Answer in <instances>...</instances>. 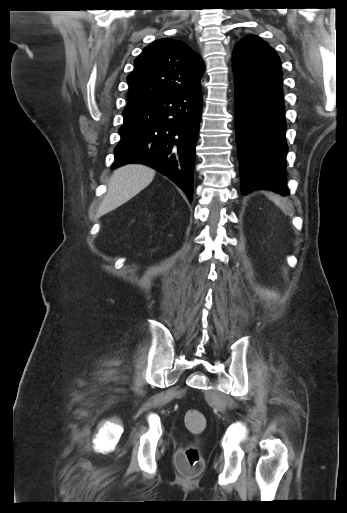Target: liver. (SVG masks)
Wrapping results in <instances>:
<instances>
[{"label":"liver","instance_id":"1","mask_svg":"<svg viewBox=\"0 0 347 513\" xmlns=\"http://www.w3.org/2000/svg\"><path fill=\"white\" fill-rule=\"evenodd\" d=\"M154 176L155 170L143 164H127L114 170L98 215H104L128 202L145 189Z\"/></svg>","mask_w":347,"mask_h":513}]
</instances>
